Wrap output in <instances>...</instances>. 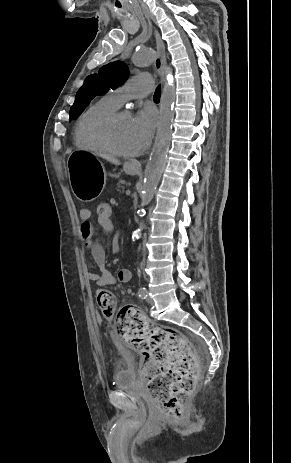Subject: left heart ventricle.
<instances>
[{"label": "left heart ventricle", "instance_id": "b2bd125f", "mask_svg": "<svg viewBox=\"0 0 291 463\" xmlns=\"http://www.w3.org/2000/svg\"><path fill=\"white\" fill-rule=\"evenodd\" d=\"M109 137L112 143L122 151L133 152L141 147L132 127V119L123 114L111 126Z\"/></svg>", "mask_w": 291, "mask_h": 463}]
</instances>
